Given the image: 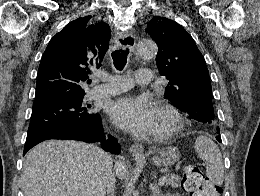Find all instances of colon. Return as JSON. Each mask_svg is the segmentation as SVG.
Instances as JSON below:
<instances>
[{"instance_id":"1","label":"colon","mask_w":260,"mask_h":196,"mask_svg":"<svg viewBox=\"0 0 260 196\" xmlns=\"http://www.w3.org/2000/svg\"><path fill=\"white\" fill-rule=\"evenodd\" d=\"M208 178L194 163L188 162L183 168V185L188 192L201 191L207 187Z\"/></svg>"}]
</instances>
